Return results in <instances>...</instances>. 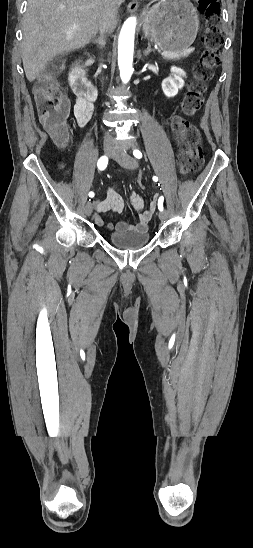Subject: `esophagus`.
<instances>
[{"instance_id": "obj_1", "label": "esophagus", "mask_w": 253, "mask_h": 548, "mask_svg": "<svg viewBox=\"0 0 253 548\" xmlns=\"http://www.w3.org/2000/svg\"><path fill=\"white\" fill-rule=\"evenodd\" d=\"M138 7H139L138 2L133 0L127 5V10H128V12L133 13V12L137 11Z\"/></svg>"}]
</instances>
